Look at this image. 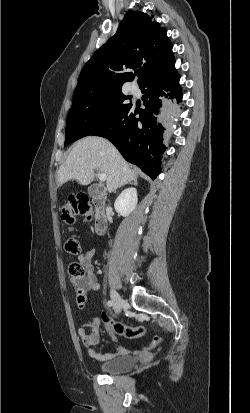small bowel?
Listing matches in <instances>:
<instances>
[{"label": "small bowel", "instance_id": "small-bowel-1", "mask_svg": "<svg viewBox=\"0 0 250 413\" xmlns=\"http://www.w3.org/2000/svg\"><path fill=\"white\" fill-rule=\"evenodd\" d=\"M94 255V250L90 249L82 252L78 256V264H80L84 270L85 275L83 277H76L71 273L68 274L69 282L76 288H78L84 295V301L82 304H85L88 300L87 292L93 291L96 292L99 290L100 285L98 283L97 277L94 273V266L92 263V258ZM100 319L94 317L84 323H82L78 328V334L81 338V341L90 357L97 360H110L115 357L124 355L128 352L127 348L120 346L114 352H103L99 353L96 351L95 347L102 345L101 336L99 333ZM107 331L113 341H117V337L111 327L106 324Z\"/></svg>", "mask_w": 250, "mask_h": 413}]
</instances>
